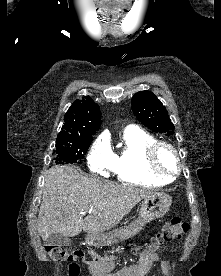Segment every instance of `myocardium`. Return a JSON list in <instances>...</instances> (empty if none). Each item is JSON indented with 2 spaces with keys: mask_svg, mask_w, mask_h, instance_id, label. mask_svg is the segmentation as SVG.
Here are the masks:
<instances>
[{
  "mask_svg": "<svg viewBox=\"0 0 221 276\" xmlns=\"http://www.w3.org/2000/svg\"><path fill=\"white\" fill-rule=\"evenodd\" d=\"M162 149H167L173 154L176 162V167L174 170H166L159 164V153ZM145 164L148 171L152 175L161 178L172 179L173 177L177 176L181 170V159L177 149L169 142L161 140L154 141L146 148Z\"/></svg>",
  "mask_w": 221,
  "mask_h": 276,
  "instance_id": "f54148a6",
  "label": "myocardium"
}]
</instances>
